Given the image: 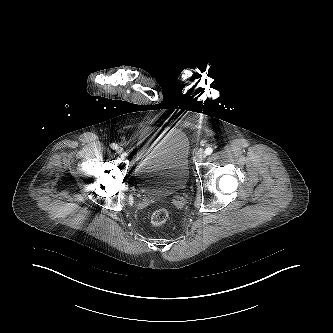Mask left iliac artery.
Segmentation results:
<instances>
[{
    "label": "left iliac artery",
    "mask_w": 333,
    "mask_h": 333,
    "mask_svg": "<svg viewBox=\"0 0 333 333\" xmlns=\"http://www.w3.org/2000/svg\"><path fill=\"white\" fill-rule=\"evenodd\" d=\"M212 152H213V148H211V147H208V148H206V150H205V153H206L207 155H210Z\"/></svg>",
    "instance_id": "44dca946"
}]
</instances>
